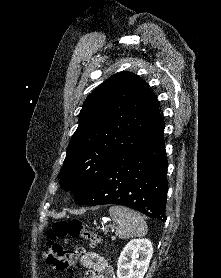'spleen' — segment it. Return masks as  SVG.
Segmentation results:
<instances>
[{
  "mask_svg": "<svg viewBox=\"0 0 221 278\" xmlns=\"http://www.w3.org/2000/svg\"><path fill=\"white\" fill-rule=\"evenodd\" d=\"M109 214L117 224L115 234L121 239L142 237L147 234V224L135 211L123 206H111Z\"/></svg>",
  "mask_w": 221,
  "mask_h": 278,
  "instance_id": "obj_1",
  "label": "spleen"
}]
</instances>
